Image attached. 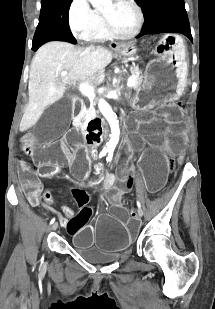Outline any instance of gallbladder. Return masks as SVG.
Masks as SVG:
<instances>
[{"label":"gallbladder","instance_id":"bac80fb5","mask_svg":"<svg viewBox=\"0 0 215 309\" xmlns=\"http://www.w3.org/2000/svg\"><path fill=\"white\" fill-rule=\"evenodd\" d=\"M58 103H50L49 109H44L37 125L33 127V135L38 136L41 144L55 140L56 136H64L66 125L69 124V114L73 110V100L64 96Z\"/></svg>","mask_w":215,"mask_h":309}]
</instances>
